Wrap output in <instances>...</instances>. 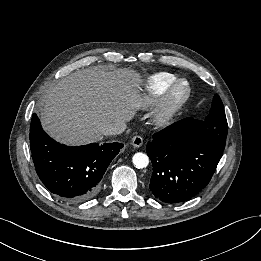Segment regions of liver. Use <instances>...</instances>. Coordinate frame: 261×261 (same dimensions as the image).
I'll return each mask as SVG.
<instances>
[{"label":"liver","instance_id":"6515ba94","mask_svg":"<svg viewBox=\"0 0 261 261\" xmlns=\"http://www.w3.org/2000/svg\"><path fill=\"white\" fill-rule=\"evenodd\" d=\"M142 82L132 69L107 72L94 66L71 73L47 90L41 124L50 136L67 145L102 140L105 125L133 118L142 103Z\"/></svg>","mask_w":261,"mask_h":261}]
</instances>
